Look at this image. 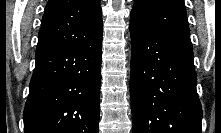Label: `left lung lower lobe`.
<instances>
[{
    "instance_id": "obj_1",
    "label": "left lung lower lobe",
    "mask_w": 221,
    "mask_h": 133,
    "mask_svg": "<svg viewBox=\"0 0 221 133\" xmlns=\"http://www.w3.org/2000/svg\"><path fill=\"white\" fill-rule=\"evenodd\" d=\"M133 133H201L190 38L129 25Z\"/></svg>"
}]
</instances>
